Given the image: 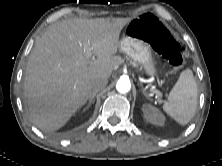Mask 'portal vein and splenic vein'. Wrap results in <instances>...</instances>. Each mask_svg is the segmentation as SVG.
I'll use <instances>...</instances> for the list:
<instances>
[{"label": "portal vein and splenic vein", "mask_w": 222, "mask_h": 166, "mask_svg": "<svg viewBox=\"0 0 222 166\" xmlns=\"http://www.w3.org/2000/svg\"><path fill=\"white\" fill-rule=\"evenodd\" d=\"M87 53L88 54H90V48L89 47H87ZM154 94H156V95H158V96H160L161 95V92H159L158 90H151Z\"/></svg>", "instance_id": "18ae733b"}]
</instances>
